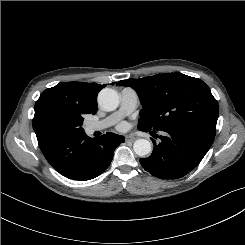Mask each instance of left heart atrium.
<instances>
[{"label":"left heart atrium","mask_w":245,"mask_h":245,"mask_svg":"<svg viewBox=\"0 0 245 245\" xmlns=\"http://www.w3.org/2000/svg\"><path fill=\"white\" fill-rule=\"evenodd\" d=\"M120 127H121V128H123V127H124V125H121Z\"/></svg>","instance_id":"39dd6f15"}]
</instances>
